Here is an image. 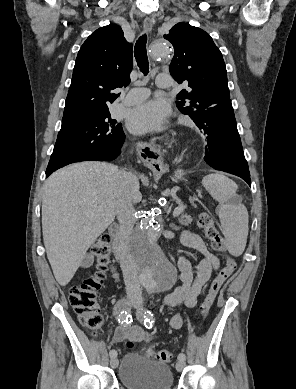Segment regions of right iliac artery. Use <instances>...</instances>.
<instances>
[{"label":"right iliac artery","instance_id":"obj_1","mask_svg":"<svg viewBox=\"0 0 296 389\" xmlns=\"http://www.w3.org/2000/svg\"><path fill=\"white\" fill-rule=\"evenodd\" d=\"M129 304H128V301L126 300H120L116 306V314H117V318H118V322L123 324L125 323V314H124V309L125 308H129ZM117 356V352L115 350H111L110 351V357H115Z\"/></svg>","mask_w":296,"mask_h":389}]
</instances>
